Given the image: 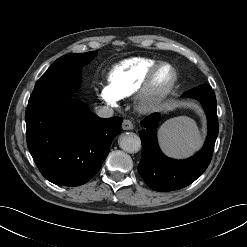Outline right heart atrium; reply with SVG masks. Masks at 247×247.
Instances as JSON below:
<instances>
[{"label":"right heart atrium","mask_w":247,"mask_h":247,"mask_svg":"<svg viewBox=\"0 0 247 247\" xmlns=\"http://www.w3.org/2000/svg\"><path fill=\"white\" fill-rule=\"evenodd\" d=\"M101 98L110 106L117 107L121 98H119L110 85H105L100 89Z\"/></svg>","instance_id":"d8ad5b80"}]
</instances>
